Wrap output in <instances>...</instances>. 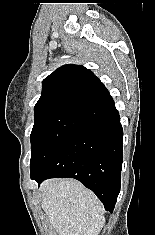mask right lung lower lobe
I'll return each mask as SVG.
<instances>
[{
  "label": "right lung lower lobe",
  "mask_w": 155,
  "mask_h": 235,
  "mask_svg": "<svg viewBox=\"0 0 155 235\" xmlns=\"http://www.w3.org/2000/svg\"><path fill=\"white\" fill-rule=\"evenodd\" d=\"M87 95L99 119L70 139L43 169L31 172V179L40 184L47 178H75L112 212L120 191L123 130L119 112L103 84L93 86Z\"/></svg>",
  "instance_id": "right-lung-lower-lobe-1"
}]
</instances>
